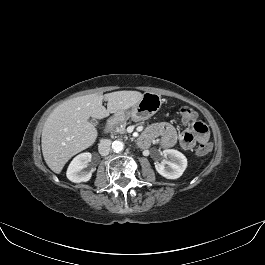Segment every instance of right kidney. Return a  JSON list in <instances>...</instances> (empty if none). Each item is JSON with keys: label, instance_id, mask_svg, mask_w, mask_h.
I'll return each instance as SVG.
<instances>
[{"label": "right kidney", "instance_id": "ca27d5eb", "mask_svg": "<svg viewBox=\"0 0 265 265\" xmlns=\"http://www.w3.org/2000/svg\"><path fill=\"white\" fill-rule=\"evenodd\" d=\"M92 155L89 152L77 155L70 163L66 176L75 183L87 182L91 179L92 173L84 170L91 162Z\"/></svg>", "mask_w": 265, "mask_h": 265}]
</instances>
